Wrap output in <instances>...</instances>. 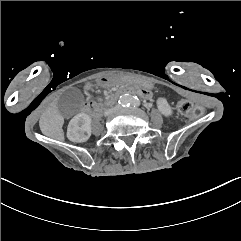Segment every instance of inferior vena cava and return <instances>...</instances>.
Listing matches in <instances>:
<instances>
[{"label": "inferior vena cava", "instance_id": "602c4592", "mask_svg": "<svg viewBox=\"0 0 241 241\" xmlns=\"http://www.w3.org/2000/svg\"><path fill=\"white\" fill-rule=\"evenodd\" d=\"M109 113H110V111H109V110H105L104 115H105V116H108V115H109Z\"/></svg>", "mask_w": 241, "mask_h": 241}]
</instances>
